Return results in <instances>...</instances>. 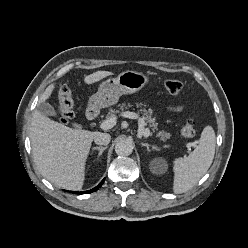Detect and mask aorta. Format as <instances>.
Wrapping results in <instances>:
<instances>
[{"label":"aorta","mask_w":248,"mask_h":248,"mask_svg":"<svg viewBox=\"0 0 248 248\" xmlns=\"http://www.w3.org/2000/svg\"><path fill=\"white\" fill-rule=\"evenodd\" d=\"M133 151L132 142L128 140H120L115 145V152L119 156H128Z\"/></svg>","instance_id":"762f6f07"}]
</instances>
